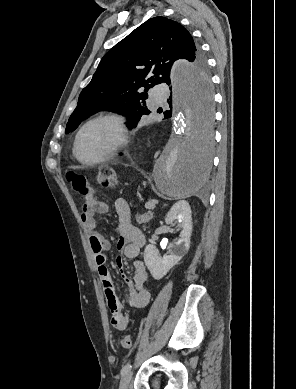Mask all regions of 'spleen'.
<instances>
[{
  "instance_id": "3e777b00",
  "label": "spleen",
  "mask_w": 296,
  "mask_h": 389,
  "mask_svg": "<svg viewBox=\"0 0 296 389\" xmlns=\"http://www.w3.org/2000/svg\"><path fill=\"white\" fill-rule=\"evenodd\" d=\"M195 186H192V191L194 190Z\"/></svg>"
}]
</instances>
